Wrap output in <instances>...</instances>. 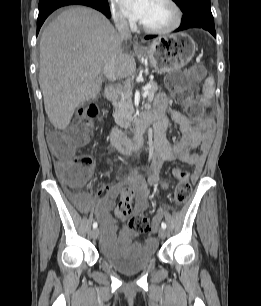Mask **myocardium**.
Listing matches in <instances>:
<instances>
[{
    "label": "myocardium",
    "instance_id": "myocardium-1",
    "mask_svg": "<svg viewBox=\"0 0 261 306\" xmlns=\"http://www.w3.org/2000/svg\"><path fill=\"white\" fill-rule=\"evenodd\" d=\"M162 2L167 4L172 10L173 18L171 22L165 26L151 27L139 21L138 23L139 27L144 32L149 34H166L176 30L181 25L183 19V13L177 2L175 0H162Z\"/></svg>",
    "mask_w": 261,
    "mask_h": 306
}]
</instances>
